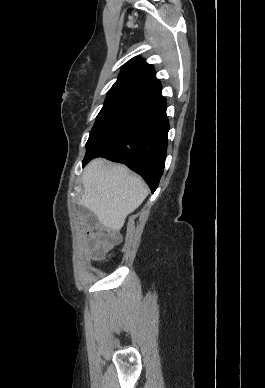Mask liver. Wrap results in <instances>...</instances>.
<instances>
[{"mask_svg": "<svg viewBox=\"0 0 265 388\" xmlns=\"http://www.w3.org/2000/svg\"><path fill=\"white\" fill-rule=\"evenodd\" d=\"M82 184L81 206L93 212L103 228L113 232H120L128 214L139 208L149 194L142 178L126 166L108 164L101 158L86 166Z\"/></svg>", "mask_w": 265, "mask_h": 388, "instance_id": "6515ba94", "label": "liver"}]
</instances>
